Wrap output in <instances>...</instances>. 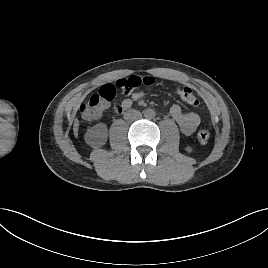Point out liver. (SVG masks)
<instances>
[{"label": "liver", "mask_w": 268, "mask_h": 268, "mask_svg": "<svg viewBox=\"0 0 268 268\" xmlns=\"http://www.w3.org/2000/svg\"><path fill=\"white\" fill-rule=\"evenodd\" d=\"M78 130H79V121L78 120H75L74 121V125H73V131H74L75 137L78 136Z\"/></svg>", "instance_id": "6515ba94"}]
</instances>
